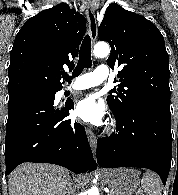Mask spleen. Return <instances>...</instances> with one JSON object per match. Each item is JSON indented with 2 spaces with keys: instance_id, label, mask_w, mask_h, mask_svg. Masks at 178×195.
Here are the masks:
<instances>
[{
  "instance_id": "3e777b00",
  "label": "spleen",
  "mask_w": 178,
  "mask_h": 195,
  "mask_svg": "<svg viewBox=\"0 0 178 195\" xmlns=\"http://www.w3.org/2000/svg\"><path fill=\"white\" fill-rule=\"evenodd\" d=\"M136 175L140 174L139 171L132 170ZM142 188L146 190L148 195H161L162 183L157 174L147 171L141 181Z\"/></svg>"
}]
</instances>
